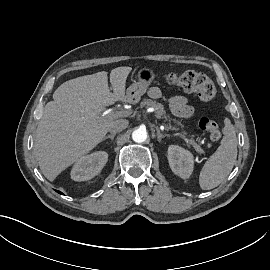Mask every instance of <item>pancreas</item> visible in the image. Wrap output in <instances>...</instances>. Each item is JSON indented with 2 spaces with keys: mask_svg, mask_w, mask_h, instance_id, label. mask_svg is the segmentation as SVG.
<instances>
[{
  "mask_svg": "<svg viewBox=\"0 0 270 270\" xmlns=\"http://www.w3.org/2000/svg\"><path fill=\"white\" fill-rule=\"evenodd\" d=\"M177 99H180L179 97ZM141 106H147L151 107L155 111V115L157 118H164L165 120L171 122V119L168 115H166V111L164 110V106L161 103H158L157 101L151 100V99H143L141 102ZM177 125L182 126L180 122H177ZM167 130H177L176 127L171 126V123L166 127ZM203 153V152H202Z\"/></svg>",
  "mask_w": 270,
  "mask_h": 270,
  "instance_id": "cf45deb5",
  "label": "pancreas"
}]
</instances>
